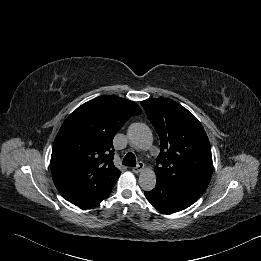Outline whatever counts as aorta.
I'll return each instance as SVG.
<instances>
[{"label": "aorta", "mask_w": 261, "mask_h": 261, "mask_svg": "<svg viewBox=\"0 0 261 261\" xmlns=\"http://www.w3.org/2000/svg\"><path fill=\"white\" fill-rule=\"evenodd\" d=\"M128 138L130 144L140 150L149 148L153 141L152 132L143 123H134L129 127ZM140 187L145 191H151L156 185V175L152 169L146 168L140 172L138 179Z\"/></svg>", "instance_id": "762f6f07"}]
</instances>
